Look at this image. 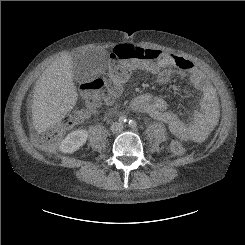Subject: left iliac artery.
<instances>
[{
	"label": "left iliac artery",
	"mask_w": 245,
	"mask_h": 245,
	"mask_svg": "<svg viewBox=\"0 0 245 245\" xmlns=\"http://www.w3.org/2000/svg\"><path fill=\"white\" fill-rule=\"evenodd\" d=\"M128 124H129V126L130 127H135L136 126V121L135 120H133V119H131V120H129V122H128Z\"/></svg>",
	"instance_id": "1"
}]
</instances>
